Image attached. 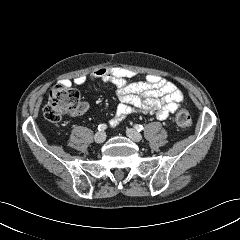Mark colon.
I'll return each instance as SVG.
<instances>
[{
    "mask_svg": "<svg viewBox=\"0 0 240 240\" xmlns=\"http://www.w3.org/2000/svg\"><path fill=\"white\" fill-rule=\"evenodd\" d=\"M81 107L80 95L76 89L56 84L50 89L43 113L47 121L57 123L63 116L76 112ZM175 122L179 127L187 128L191 125L192 119L187 110L180 109L175 114Z\"/></svg>",
    "mask_w": 240,
    "mask_h": 240,
    "instance_id": "1",
    "label": "colon"
}]
</instances>
